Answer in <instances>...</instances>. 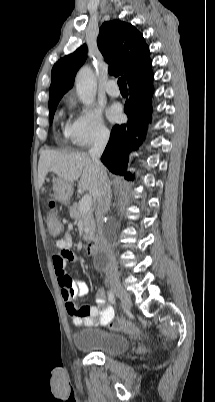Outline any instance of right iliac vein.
Wrapping results in <instances>:
<instances>
[{
    "label": "right iliac vein",
    "instance_id": "1",
    "mask_svg": "<svg viewBox=\"0 0 215 402\" xmlns=\"http://www.w3.org/2000/svg\"><path fill=\"white\" fill-rule=\"evenodd\" d=\"M112 289L116 296L121 300L126 310H130L132 306L131 297L119 284H112Z\"/></svg>",
    "mask_w": 215,
    "mask_h": 402
}]
</instances>
